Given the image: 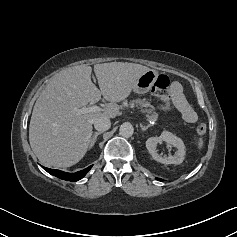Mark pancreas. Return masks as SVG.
<instances>
[{"mask_svg": "<svg viewBox=\"0 0 237 237\" xmlns=\"http://www.w3.org/2000/svg\"><path fill=\"white\" fill-rule=\"evenodd\" d=\"M131 107L139 106L141 111L146 113V117L151 121H156L158 113L155 112V108L146 99H134L130 101Z\"/></svg>", "mask_w": 237, "mask_h": 237, "instance_id": "1", "label": "pancreas"}]
</instances>
